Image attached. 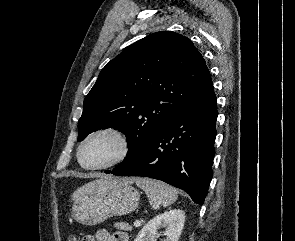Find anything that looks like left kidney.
Returning a JSON list of instances; mask_svg holds the SVG:
<instances>
[{
  "mask_svg": "<svg viewBox=\"0 0 295 241\" xmlns=\"http://www.w3.org/2000/svg\"><path fill=\"white\" fill-rule=\"evenodd\" d=\"M185 222L183 210H170L152 218L139 232L134 241H156L158 229L165 228L163 241H178Z\"/></svg>",
  "mask_w": 295,
  "mask_h": 241,
  "instance_id": "obj_1",
  "label": "left kidney"
}]
</instances>
